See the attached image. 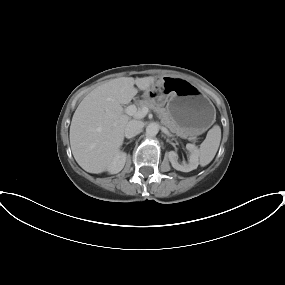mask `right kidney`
<instances>
[{
	"mask_svg": "<svg viewBox=\"0 0 285 285\" xmlns=\"http://www.w3.org/2000/svg\"><path fill=\"white\" fill-rule=\"evenodd\" d=\"M126 158L127 154L123 151H119L108 165L107 171L110 174H116L120 172L124 168Z\"/></svg>",
	"mask_w": 285,
	"mask_h": 285,
	"instance_id": "ca27d5eb",
	"label": "right kidney"
}]
</instances>
